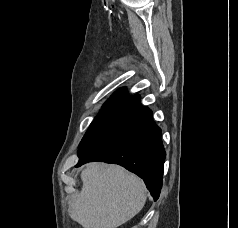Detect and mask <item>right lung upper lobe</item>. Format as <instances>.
Masks as SVG:
<instances>
[{
    "mask_svg": "<svg viewBox=\"0 0 238 228\" xmlns=\"http://www.w3.org/2000/svg\"><path fill=\"white\" fill-rule=\"evenodd\" d=\"M139 107L140 96H127L126 88H121L109 98L97 116L121 117Z\"/></svg>",
    "mask_w": 238,
    "mask_h": 228,
    "instance_id": "1",
    "label": "right lung upper lobe"
}]
</instances>
